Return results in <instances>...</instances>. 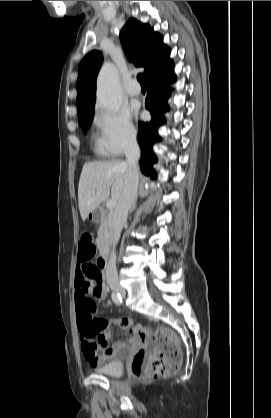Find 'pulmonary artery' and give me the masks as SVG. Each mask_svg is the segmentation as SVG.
Here are the masks:
<instances>
[{
    "instance_id": "1",
    "label": "pulmonary artery",
    "mask_w": 271,
    "mask_h": 418,
    "mask_svg": "<svg viewBox=\"0 0 271 418\" xmlns=\"http://www.w3.org/2000/svg\"><path fill=\"white\" fill-rule=\"evenodd\" d=\"M140 87L135 80H132L129 85L127 86V93L130 96H139L140 95Z\"/></svg>"
}]
</instances>
